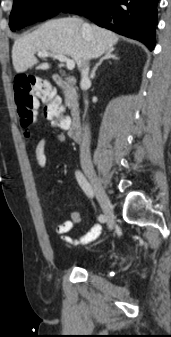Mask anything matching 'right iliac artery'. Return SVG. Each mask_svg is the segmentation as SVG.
I'll return each mask as SVG.
<instances>
[{
    "label": "right iliac artery",
    "mask_w": 171,
    "mask_h": 337,
    "mask_svg": "<svg viewBox=\"0 0 171 337\" xmlns=\"http://www.w3.org/2000/svg\"><path fill=\"white\" fill-rule=\"evenodd\" d=\"M75 175H76V179H77L80 187L83 189V191L85 192V194L88 197H93L92 187L89 184V182L87 181L86 177L83 175V173L80 172V171H76ZM98 220L100 222H105L106 221V216L103 215V214H100L99 217H98Z\"/></svg>",
    "instance_id": "right-iliac-artery-1"
}]
</instances>
